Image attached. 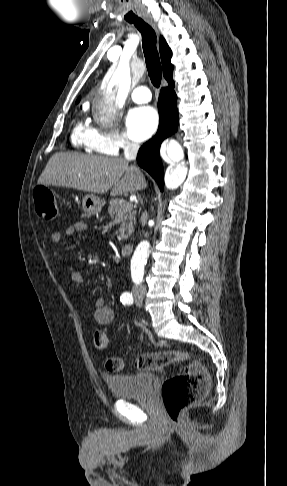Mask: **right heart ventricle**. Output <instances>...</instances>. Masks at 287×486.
Masks as SVG:
<instances>
[{
    "instance_id": "obj_1",
    "label": "right heart ventricle",
    "mask_w": 287,
    "mask_h": 486,
    "mask_svg": "<svg viewBox=\"0 0 287 486\" xmlns=\"http://www.w3.org/2000/svg\"><path fill=\"white\" fill-rule=\"evenodd\" d=\"M96 135L97 131L94 128L86 123L78 122L73 128L71 141L77 148L95 151L93 148V143Z\"/></svg>"
}]
</instances>
